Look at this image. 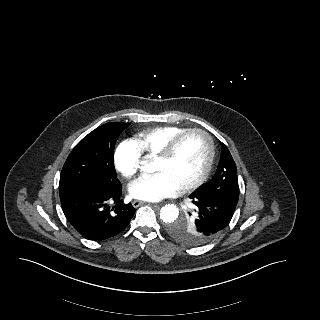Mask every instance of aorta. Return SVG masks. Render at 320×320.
Segmentation results:
<instances>
[{
	"mask_svg": "<svg viewBox=\"0 0 320 320\" xmlns=\"http://www.w3.org/2000/svg\"><path fill=\"white\" fill-rule=\"evenodd\" d=\"M144 170L149 171V169L143 167ZM179 216V210L174 204H167L161 208L160 219L165 223L174 222Z\"/></svg>",
	"mask_w": 320,
	"mask_h": 320,
	"instance_id": "762f6f07",
	"label": "aorta"
}]
</instances>
